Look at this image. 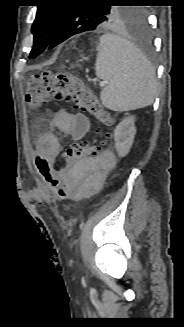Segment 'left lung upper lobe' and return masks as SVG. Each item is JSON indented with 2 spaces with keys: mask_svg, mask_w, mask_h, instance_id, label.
Here are the masks:
<instances>
[{
  "mask_svg": "<svg viewBox=\"0 0 184 327\" xmlns=\"http://www.w3.org/2000/svg\"><path fill=\"white\" fill-rule=\"evenodd\" d=\"M48 0L37 6V14L32 25L33 47L29 58L33 59L48 48L58 28L85 32L103 26H137L145 19V12L135 6H111L112 3H132L133 0H102L97 5H82L81 0Z\"/></svg>",
  "mask_w": 184,
  "mask_h": 327,
  "instance_id": "5c2ea615",
  "label": "left lung upper lobe"
}]
</instances>
